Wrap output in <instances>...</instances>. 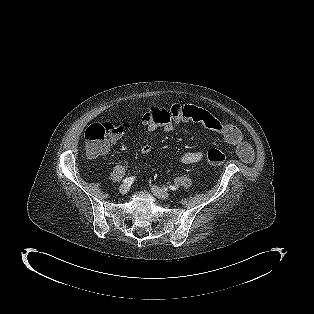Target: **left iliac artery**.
I'll return each mask as SVG.
<instances>
[{
	"label": "left iliac artery",
	"instance_id": "left-iliac-artery-1",
	"mask_svg": "<svg viewBox=\"0 0 314 314\" xmlns=\"http://www.w3.org/2000/svg\"><path fill=\"white\" fill-rule=\"evenodd\" d=\"M169 188H170V190H173V191H176V190L178 189V187H176V186H174V185H173V186L170 185Z\"/></svg>",
	"mask_w": 314,
	"mask_h": 314
}]
</instances>
